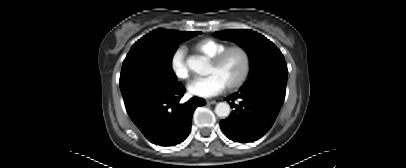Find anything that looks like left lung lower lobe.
<instances>
[{
    "instance_id": "left-lung-lower-lobe-1",
    "label": "left lung lower lobe",
    "mask_w": 406,
    "mask_h": 168,
    "mask_svg": "<svg viewBox=\"0 0 406 168\" xmlns=\"http://www.w3.org/2000/svg\"><path fill=\"white\" fill-rule=\"evenodd\" d=\"M285 88L255 85L241 88L225 98L231 101L232 114L220 122L223 133L235 142L247 143L261 138L273 125L285 98ZM238 100L239 104L234 101Z\"/></svg>"
}]
</instances>
